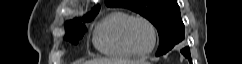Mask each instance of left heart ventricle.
Listing matches in <instances>:
<instances>
[{"label": "left heart ventricle", "instance_id": "b2bd125f", "mask_svg": "<svg viewBox=\"0 0 242 64\" xmlns=\"http://www.w3.org/2000/svg\"><path fill=\"white\" fill-rule=\"evenodd\" d=\"M129 37L133 47L141 52L150 49L153 43L151 30L143 21H135L131 25Z\"/></svg>", "mask_w": 242, "mask_h": 64}]
</instances>
